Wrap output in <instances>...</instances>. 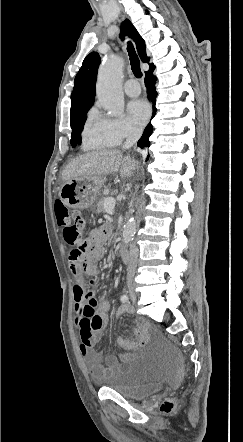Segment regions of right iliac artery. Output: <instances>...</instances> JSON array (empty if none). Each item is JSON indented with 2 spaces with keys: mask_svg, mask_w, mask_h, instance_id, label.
Here are the masks:
<instances>
[{
  "mask_svg": "<svg viewBox=\"0 0 243 442\" xmlns=\"http://www.w3.org/2000/svg\"><path fill=\"white\" fill-rule=\"evenodd\" d=\"M128 300H129V297H128L127 294H124V295L121 296V301H122L123 303L128 302Z\"/></svg>",
  "mask_w": 243,
  "mask_h": 442,
  "instance_id": "1",
  "label": "right iliac artery"
}]
</instances>
